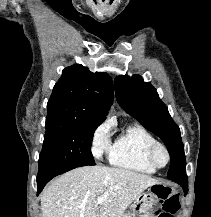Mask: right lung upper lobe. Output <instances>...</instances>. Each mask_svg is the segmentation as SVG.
<instances>
[{
	"instance_id": "right-lung-upper-lobe-1",
	"label": "right lung upper lobe",
	"mask_w": 211,
	"mask_h": 217,
	"mask_svg": "<svg viewBox=\"0 0 211 217\" xmlns=\"http://www.w3.org/2000/svg\"><path fill=\"white\" fill-rule=\"evenodd\" d=\"M113 101L107 73H92L75 64L65 68L47 103V119H74L102 123Z\"/></svg>"
}]
</instances>
